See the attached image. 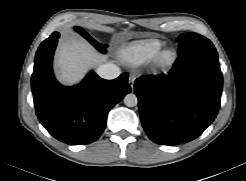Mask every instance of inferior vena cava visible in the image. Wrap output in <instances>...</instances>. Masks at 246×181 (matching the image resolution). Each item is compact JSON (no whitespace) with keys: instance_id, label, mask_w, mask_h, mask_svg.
<instances>
[{"instance_id":"1","label":"inferior vena cava","mask_w":246,"mask_h":181,"mask_svg":"<svg viewBox=\"0 0 246 181\" xmlns=\"http://www.w3.org/2000/svg\"><path fill=\"white\" fill-rule=\"evenodd\" d=\"M97 74L103 79L111 80L117 78L121 74V70L113 63H106L98 67Z\"/></svg>"}]
</instances>
